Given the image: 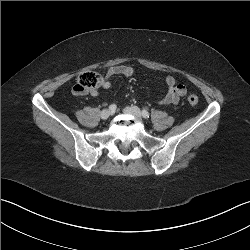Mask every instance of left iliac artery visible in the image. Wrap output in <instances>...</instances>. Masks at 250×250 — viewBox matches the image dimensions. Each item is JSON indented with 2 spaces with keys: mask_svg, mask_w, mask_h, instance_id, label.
Listing matches in <instances>:
<instances>
[{
  "mask_svg": "<svg viewBox=\"0 0 250 250\" xmlns=\"http://www.w3.org/2000/svg\"><path fill=\"white\" fill-rule=\"evenodd\" d=\"M142 116L144 118H149V112L147 110H142Z\"/></svg>",
  "mask_w": 250,
  "mask_h": 250,
  "instance_id": "44dca946",
  "label": "left iliac artery"
}]
</instances>
